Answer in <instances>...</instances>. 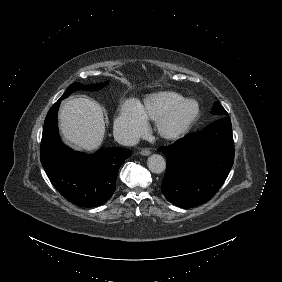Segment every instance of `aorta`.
<instances>
[{"label": "aorta", "mask_w": 282, "mask_h": 282, "mask_svg": "<svg viewBox=\"0 0 282 282\" xmlns=\"http://www.w3.org/2000/svg\"><path fill=\"white\" fill-rule=\"evenodd\" d=\"M147 166L152 173L160 174L166 169V162L161 155L153 154L148 158Z\"/></svg>", "instance_id": "obj_1"}]
</instances>
